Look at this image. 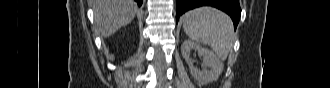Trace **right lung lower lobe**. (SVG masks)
Instances as JSON below:
<instances>
[{
  "label": "right lung lower lobe",
  "mask_w": 330,
  "mask_h": 88,
  "mask_svg": "<svg viewBox=\"0 0 330 88\" xmlns=\"http://www.w3.org/2000/svg\"><path fill=\"white\" fill-rule=\"evenodd\" d=\"M135 1L137 2L138 6H141L143 3V0H135Z\"/></svg>",
  "instance_id": "98d812e1"
}]
</instances>
